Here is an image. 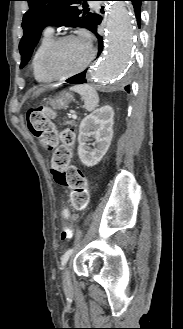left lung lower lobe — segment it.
Instances as JSON below:
<instances>
[{"label":"left lung lower lobe","mask_w":183,"mask_h":329,"mask_svg":"<svg viewBox=\"0 0 183 329\" xmlns=\"http://www.w3.org/2000/svg\"><path fill=\"white\" fill-rule=\"evenodd\" d=\"M131 1L133 6H134V11H135V16L137 19V23L140 26V22H141V18H140V7H141V2L144 0H128ZM102 13H104V11L102 10ZM101 22V18L99 16H96L95 18V23L91 29V31L96 35L97 39H98V56L101 54V52L103 51V37L100 36L97 33V25ZM86 70L76 74L72 77H70L69 79L66 80L67 83L70 84H82V83H86ZM125 90L127 92H130V86L127 85L125 87Z\"/></svg>","instance_id":"0a47b994"}]
</instances>
